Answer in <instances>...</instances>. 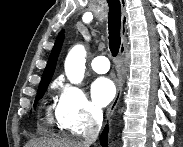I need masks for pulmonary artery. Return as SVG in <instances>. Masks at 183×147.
Masks as SVG:
<instances>
[{
  "label": "pulmonary artery",
  "mask_w": 183,
  "mask_h": 147,
  "mask_svg": "<svg viewBox=\"0 0 183 147\" xmlns=\"http://www.w3.org/2000/svg\"><path fill=\"white\" fill-rule=\"evenodd\" d=\"M91 66L96 73L103 74L108 72L110 63L105 56H97L93 59Z\"/></svg>",
  "instance_id": "obj_1"
}]
</instances>
